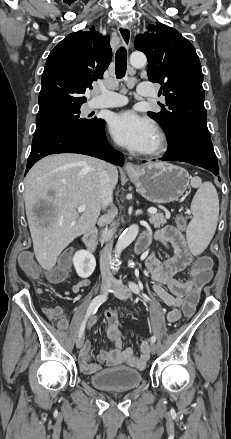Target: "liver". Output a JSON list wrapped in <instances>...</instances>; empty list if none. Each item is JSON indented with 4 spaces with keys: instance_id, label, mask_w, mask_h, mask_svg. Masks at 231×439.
<instances>
[{
    "instance_id": "obj_1",
    "label": "liver",
    "mask_w": 231,
    "mask_h": 439,
    "mask_svg": "<svg viewBox=\"0 0 231 439\" xmlns=\"http://www.w3.org/2000/svg\"><path fill=\"white\" fill-rule=\"evenodd\" d=\"M101 163L86 155L62 153L44 157L29 170L25 208L34 253L43 269L51 270L60 253L95 226L103 207ZM109 172L114 189L118 170L112 165ZM82 204L86 210L79 215L76 209Z\"/></svg>"
}]
</instances>
